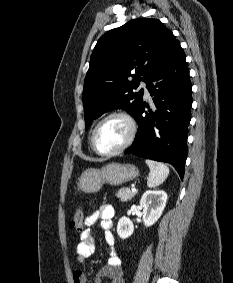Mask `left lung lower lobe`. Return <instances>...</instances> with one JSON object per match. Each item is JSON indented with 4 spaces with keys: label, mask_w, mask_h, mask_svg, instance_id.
I'll return each instance as SVG.
<instances>
[{
    "label": "left lung lower lobe",
    "mask_w": 233,
    "mask_h": 283,
    "mask_svg": "<svg viewBox=\"0 0 233 283\" xmlns=\"http://www.w3.org/2000/svg\"><path fill=\"white\" fill-rule=\"evenodd\" d=\"M146 84L154 106L142 102L134 117L139 131L125 154L170 163L183 179L192 85L180 43L175 44Z\"/></svg>",
    "instance_id": "obj_1"
}]
</instances>
